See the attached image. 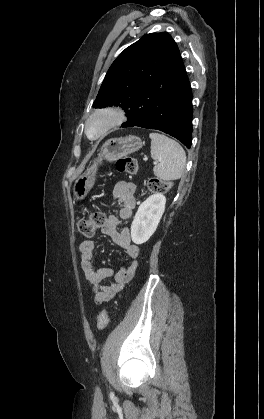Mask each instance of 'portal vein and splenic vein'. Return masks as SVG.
Returning <instances> with one entry per match:
<instances>
[{
  "instance_id": "1",
  "label": "portal vein and splenic vein",
  "mask_w": 264,
  "mask_h": 419,
  "mask_svg": "<svg viewBox=\"0 0 264 419\" xmlns=\"http://www.w3.org/2000/svg\"><path fill=\"white\" fill-rule=\"evenodd\" d=\"M144 160L147 161V157H144ZM156 164V163H155Z\"/></svg>"
}]
</instances>
